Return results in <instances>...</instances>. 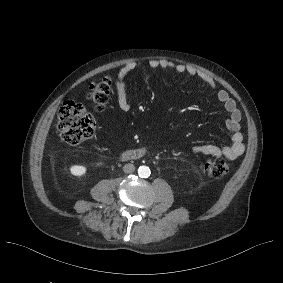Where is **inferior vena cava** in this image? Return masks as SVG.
I'll use <instances>...</instances> for the list:
<instances>
[{
	"label": "inferior vena cava",
	"instance_id": "inferior-vena-cava-1",
	"mask_svg": "<svg viewBox=\"0 0 283 283\" xmlns=\"http://www.w3.org/2000/svg\"><path fill=\"white\" fill-rule=\"evenodd\" d=\"M135 170V167H134V165H132V164H125L124 166H123V171L125 172V173H131V172H133Z\"/></svg>",
	"mask_w": 283,
	"mask_h": 283
}]
</instances>
